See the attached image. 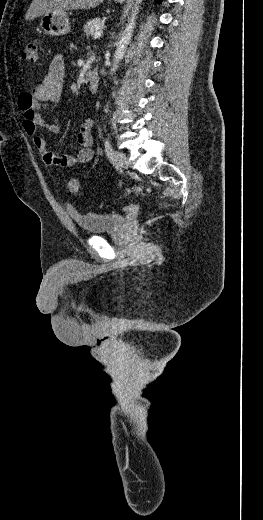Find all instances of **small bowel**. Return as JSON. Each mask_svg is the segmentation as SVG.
<instances>
[{
	"mask_svg": "<svg viewBox=\"0 0 263 520\" xmlns=\"http://www.w3.org/2000/svg\"><path fill=\"white\" fill-rule=\"evenodd\" d=\"M65 77V61L61 54L53 57L49 69L42 81L30 91L22 93L18 99V105L23 114V129L32 137L33 144L41 159L47 165H56L63 168H71L77 164H85L93 159V120L85 119L79 129L78 142L81 149L74 155L58 156L49 151L47 143L38 134L39 128H45L49 132L58 131V125L54 121L46 122L41 111L45 108H53L59 103Z\"/></svg>",
	"mask_w": 263,
	"mask_h": 520,
	"instance_id": "1",
	"label": "small bowel"
}]
</instances>
